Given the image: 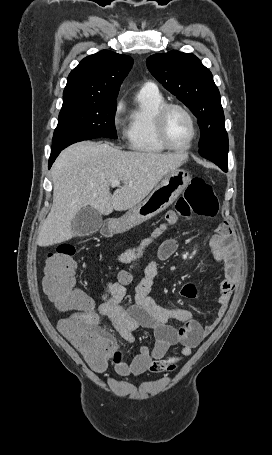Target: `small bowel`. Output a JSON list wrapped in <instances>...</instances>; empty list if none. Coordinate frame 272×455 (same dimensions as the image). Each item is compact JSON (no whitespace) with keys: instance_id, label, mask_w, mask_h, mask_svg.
Returning <instances> with one entry per match:
<instances>
[{"instance_id":"small-bowel-1","label":"small bowel","mask_w":272,"mask_h":455,"mask_svg":"<svg viewBox=\"0 0 272 455\" xmlns=\"http://www.w3.org/2000/svg\"><path fill=\"white\" fill-rule=\"evenodd\" d=\"M175 238L165 239L158 248V259L166 260L178 249ZM210 248L216 261L223 264V280L218 286V307L213 320L202 325L192 317V313L183 308L166 309L158 305L150 292L158 272V264L151 261L144 270V276L135 288V303L124 307L122 301L128 283L118 278L109 281L101 293V303L97 307L100 315L106 316L120 337L127 343L134 342V332L147 329L154 334L152 348L144 345L131 362L116 363V370L121 376H140L146 372H172L182 357L189 356L192 349L208 336L224 316L231 294L238 279V264L235 242L228 224L222 223L210 240ZM141 250V245L122 252L117 258L118 265H128ZM146 250V249H145ZM145 250L142 251L144 255ZM180 294L188 299L197 295L194 284L182 286ZM172 321L181 322L180 327L172 326ZM178 346L176 355L166 357L170 347Z\"/></svg>"}]
</instances>
